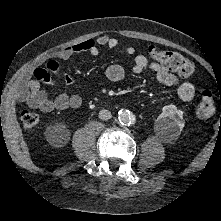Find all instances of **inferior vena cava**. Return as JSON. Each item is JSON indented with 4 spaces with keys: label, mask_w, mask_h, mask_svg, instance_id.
I'll return each mask as SVG.
<instances>
[{
    "label": "inferior vena cava",
    "mask_w": 221,
    "mask_h": 221,
    "mask_svg": "<svg viewBox=\"0 0 221 221\" xmlns=\"http://www.w3.org/2000/svg\"><path fill=\"white\" fill-rule=\"evenodd\" d=\"M111 117H112V115L109 110L103 109L99 112V118L101 120H109Z\"/></svg>",
    "instance_id": "obj_1"
}]
</instances>
